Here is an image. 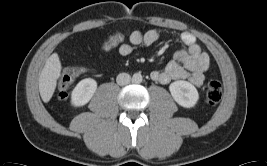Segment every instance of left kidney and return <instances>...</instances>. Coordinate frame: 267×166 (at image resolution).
I'll use <instances>...</instances> for the list:
<instances>
[{
  "label": "left kidney",
  "instance_id": "left-kidney-1",
  "mask_svg": "<svg viewBox=\"0 0 267 166\" xmlns=\"http://www.w3.org/2000/svg\"><path fill=\"white\" fill-rule=\"evenodd\" d=\"M169 90L174 100L185 108L194 107L199 99L197 89L188 81H175L170 84Z\"/></svg>",
  "mask_w": 267,
  "mask_h": 166
}]
</instances>
